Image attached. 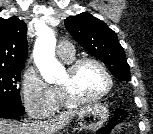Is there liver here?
<instances>
[{"instance_id": "1", "label": "liver", "mask_w": 153, "mask_h": 134, "mask_svg": "<svg viewBox=\"0 0 153 134\" xmlns=\"http://www.w3.org/2000/svg\"><path fill=\"white\" fill-rule=\"evenodd\" d=\"M80 110H69L61 113L57 123L54 124L18 123L13 120L0 119V134H47L53 128L64 127L75 115L80 114Z\"/></svg>"}]
</instances>
